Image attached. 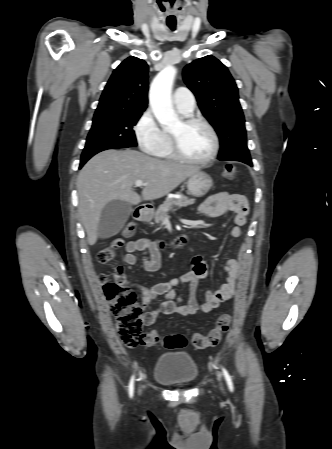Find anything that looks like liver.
Here are the masks:
<instances>
[{
  "label": "liver",
  "instance_id": "obj_1",
  "mask_svg": "<svg viewBox=\"0 0 332 449\" xmlns=\"http://www.w3.org/2000/svg\"><path fill=\"white\" fill-rule=\"evenodd\" d=\"M199 167L163 161L136 150H106L91 158L77 178L79 214L89 245L97 241L102 209L113 200L137 205L162 198L178 187ZM146 183L141 195L133 187Z\"/></svg>",
  "mask_w": 332,
  "mask_h": 449
}]
</instances>
